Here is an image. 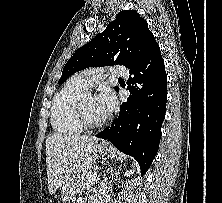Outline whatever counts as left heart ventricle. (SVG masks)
I'll return each instance as SVG.
<instances>
[{"label":"left heart ventricle","instance_id":"1","mask_svg":"<svg viewBox=\"0 0 222 203\" xmlns=\"http://www.w3.org/2000/svg\"><path fill=\"white\" fill-rule=\"evenodd\" d=\"M84 106L87 116L93 121L100 120L107 115L100 108L96 96H88L85 99Z\"/></svg>","mask_w":222,"mask_h":203}]
</instances>
